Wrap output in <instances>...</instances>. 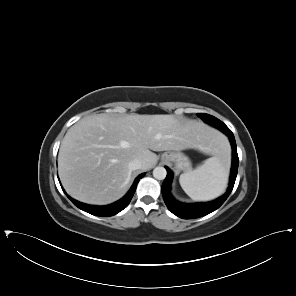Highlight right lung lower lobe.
<instances>
[{
	"instance_id": "right-lung-lower-lobe-1",
	"label": "right lung lower lobe",
	"mask_w": 296,
	"mask_h": 296,
	"mask_svg": "<svg viewBox=\"0 0 296 296\" xmlns=\"http://www.w3.org/2000/svg\"><path fill=\"white\" fill-rule=\"evenodd\" d=\"M145 175V173L139 175L136 180L134 181L131 189L128 191V193L120 200H118L117 202L110 204V205H106V206H93V205H87L81 202H78L72 198H70L68 196V198L73 202V204L75 206H77L78 208H80L81 210L90 213L92 215L95 216H113L115 214H117L118 212L122 211L123 209H125L129 202L131 201L134 192L136 190L137 187V183L139 182V180Z\"/></svg>"
}]
</instances>
